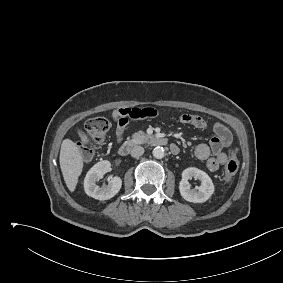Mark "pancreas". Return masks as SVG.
Masks as SVG:
<instances>
[{"label":"pancreas","instance_id":"cf45deb5","mask_svg":"<svg viewBox=\"0 0 283 283\" xmlns=\"http://www.w3.org/2000/svg\"><path fill=\"white\" fill-rule=\"evenodd\" d=\"M148 139L149 136L147 134H145L143 131H139L132 135V139L130 140V142L134 144H142L147 142Z\"/></svg>","mask_w":283,"mask_h":283}]
</instances>
